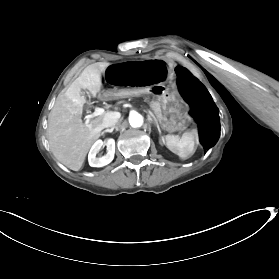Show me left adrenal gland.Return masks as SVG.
<instances>
[{
	"instance_id": "a2214340",
	"label": "left adrenal gland",
	"mask_w": 279,
	"mask_h": 279,
	"mask_svg": "<svg viewBox=\"0 0 279 279\" xmlns=\"http://www.w3.org/2000/svg\"><path fill=\"white\" fill-rule=\"evenodd\" d=\"M149 121H150V122H153V123L155 124V126L157 127V129H158L159 133H161V130H160L159 124H158L156 121H154L151 117H149Z\"/></svg>"
}]
</instances>
